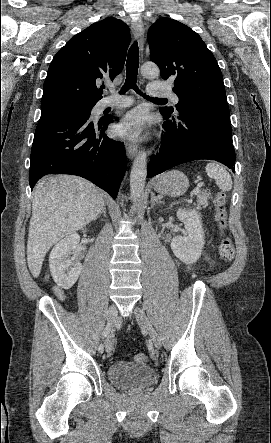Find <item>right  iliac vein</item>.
<instances>
[{
    "label": "right iliac vein",
    "instance_id": "right-iliac-vein-1",
    "mask_svg": "<svg viewBox=\"0 0 271 443\" xmlns=\"http://www.w3.org/2000/svg\"><path fill=\"white\" fill-rule=\"evenodd\" d=\"M116 313H117V308L113 304L109 307V309L107 311V320L109 323H111V325L115 320ZM113 345H114V332L112 330L105 341V349H106L107 353L111 352Z\"/></svg>",
    "mask_w": 271,
    "mask_h": 443
}]
</instances>
